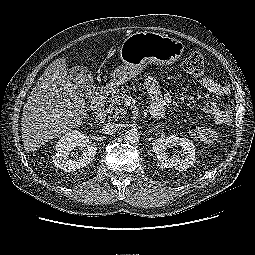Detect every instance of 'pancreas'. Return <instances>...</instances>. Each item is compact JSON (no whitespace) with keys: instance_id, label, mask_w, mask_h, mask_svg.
<instances>
[{"instance_id":"pancreas-1","label":"pancreas","mask_w":255,"mask_h":255,"mask_svg":"<svg viewBox=\"0 0 255 255\" xmlns=\"http://www.w3.org/2000/svg\"><path fill=\"white\" fill-rule=\"evenodd\" d=\"M127 95V89L122 86L120 89H115L108 99L107 112L114 114V118H123L126 114V110L121 106V101Z\"/></svg>"}]
</instances>
